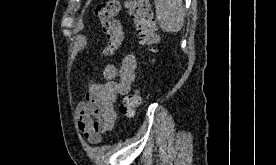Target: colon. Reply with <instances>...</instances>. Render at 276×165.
<instances>
[{
	"label": "colon",
	"instance_id": "5ec220e1",
	"mask_svg": "<svg viewBox=\"0 0 276 165\" xmlns=\"http://www.w3.org/2000/svg\"><path fill=\"white\" fill-rule=\"evenodd\" d=\"M121 6L118 0H105L95 8V15L107 40L105 49L107 54L118 50L124 40L123 28L117 18ZM124 6L134 22L139 44L148 53L153 54L159 42V35L148 0H126ZM141 99V93L138 90L126 95L119 108L120 114L125 118L134 117Z\"/></svg>",
	"mask_w": 276,
	"mask_h": 165
}]
</instances>
